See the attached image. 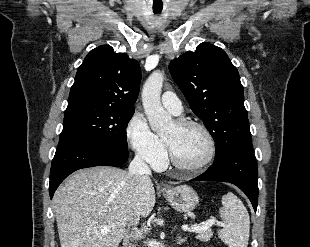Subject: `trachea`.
Segmentation results:
<instances>
[{
  "mask_svg": "<svg viewBox=\"0 0 310 247\" xmlns=\"http://www.w3.org/2000/svg\"><path fill=\"white\" fill-rule=\"evenodd\" d=\"M161 12V10H154V13L155 14H158V13H160Z\"/></svg>",
  "mask_w": 310,
  "mask_h": 247,
  "instance_id": "trachea-1",
  "label": "trachea"
}]
</instances>
